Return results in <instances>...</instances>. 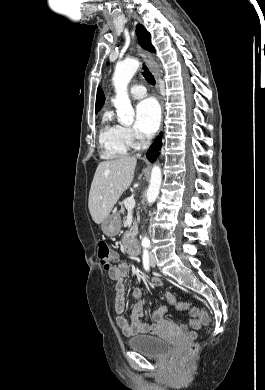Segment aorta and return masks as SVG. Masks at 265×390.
<instances>
[{
	"label": "aorta",
	"instance_id": "1",
	"mask_svg": "<svg viewBox=\"0 0 265 390\" xmlns=\"http://www.w3.org/2000/svg\"><path fill=\"white\" fill-rule=\"evenodd\" d=\"M139 61L137 59H126L117 63L113 74V85L115 87L116 96L114 99V106L117 110L119 122L129 125L134 121V109L128 95V84L136 71L139 68ZM162 181L161 168L155 165L151 171L150 185L147 190V202L152 204L158 197ZM143 247L150 245V240L147 236L142 238Z\"/></svg>",
	"mask_w": 265,
	"mask_h": 390
}]
</instances>
